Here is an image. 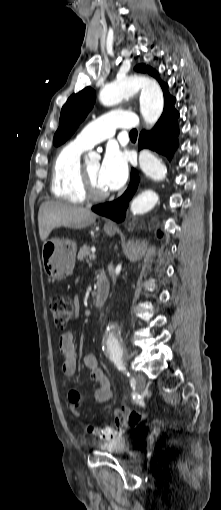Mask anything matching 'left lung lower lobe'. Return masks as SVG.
<instances>
[{"label":"left lung lower lobe","instance_id":"1","mask_svg":"<svg viewBox=\"0 0 221 510\" xmlns=\"http://www.w3.org/2000/svg\"><path fill=\"white\" fill-rule=\"evenodd\" d=\"M178 117L179 112L175 108L164 111L154 128L150 132H143L140 135L139 149L149 148L165 155L170 160L178 146ZM139 181L138 172L132 169L130 184L124 194L115 201L94 206L92 210L114 221H123L127 206L137 189ZM158 236H161V233H158Z\"/></svg>","mask_w":221,"mask_h":510}]
</instances>
